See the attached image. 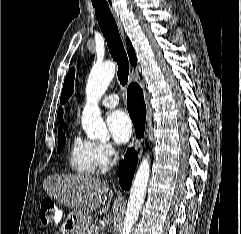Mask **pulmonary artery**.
Segmentation results:
<instances>
[{"mask_svg": "<svg viewBox=\"0 0 241 234\" xmlns=\"http://www.w3.org/2000/svg\"><path fill=\"white\" fill-rule=\"evenodd\" d=\"M118 103H119V98L116 94L107 95L101 101V104L107 108H113L117 106Z\"/></svg>", "mask_w": 241, "mask_h": 234, "instance_id": "pulmonary-artery-1", "label": "pulmonary artery"}]
</instances>
